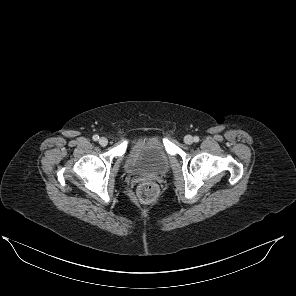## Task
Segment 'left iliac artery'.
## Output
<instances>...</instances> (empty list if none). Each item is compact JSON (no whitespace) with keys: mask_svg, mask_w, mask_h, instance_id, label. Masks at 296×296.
<instances>
[{"mask_svg":"<svg viewBox=\"0 0 296 296\" xmlns=\"http://www.w3.org/2000/svg\"><path fill=\"white\" fill-rule=\"evenodd\" d=\"M199 141V137L198 136H195L194 137V142H198Z\"/></svg>","mask_w":296,"mask_h":296,"instance_id":"left-iliac-artery-1","label":"left iliac artery"}]
</instances>
